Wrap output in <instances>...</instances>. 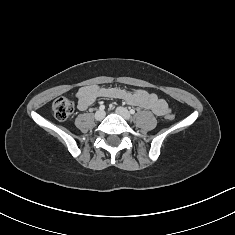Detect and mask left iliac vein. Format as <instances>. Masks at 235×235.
Segmentation results:
<instances>
[{
  "label": "left iliac vein",
  "instance_id": "4c4485c4",
  "mask_svg": "<svg viewBox=\"0 0 235 235\" xmlns=\"http://www.w3.org/2000/svg\"><path fill=\"white\" fill-rule=\"evenodd\" d=\"M116 113L122 116L125 120L129 121L131 119V115L129 111L124 107H117Z\"/></svg>",
  "mask_w": 235,
  "mask_h": 235
}]
</instances>
